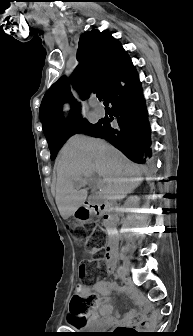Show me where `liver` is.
I'll return each instance as SVG.
<instances>
[{"label":"liver","mask_w":193,"mask_h":336,"mask_svg":"<svg viewBox=\"0 0 193 336\" xmlns=\"http://www.w3.org/2000/svg\"><path fill=\"white\" fill-rule=\"evenodd\" d=\"M57 173L55 201L63 219H68L83 206L88 196L81 189L94 173L99 197L105 200L123 199L143 181L144 168L131 162L122 152L104 140L76 136L62 148L55 163Z\"/></svg>","instance_id":"obj_1"}]
</instances>
